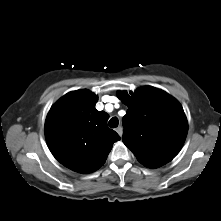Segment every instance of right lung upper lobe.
Listing matches in <instances>:
<instances>
[{"mask_svg": "<svg viewBox=\"0 0 221 221\" xmlns=\"http://www.w3.org/2000/svg\"><path fill=\"white\" fill-rule=\"evenodd\" d=\"M98 97L88 90L69 92L50 109L45 136L54 157L79 173L99 169L119 135L109 129V115L97 111Z\"/></svg>", "mask_w": 221, "mask_h": 221, "instance_id": "obj_1", "label": "right lung upper lobe"}]
</instances>
